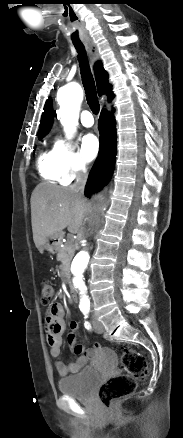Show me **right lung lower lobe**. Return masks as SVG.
<instances>
[{"label":"right lung lower lobe","mask_w":183,"mask_h":438,"mask_svg":"<svg viewBox=\"0 0 183 438\" xmlns=\"http://www.w3.org/2000/svg\"><path fill=\"white\" fill-rule=\"evenodd\" d=\"M98 129L100 132V148L98 157L89 173L85 195L90 197L106 185L113 173L117 153V138L113 116L102 110Z\"/></svg>","instance_id":"1"}]
</instances>
